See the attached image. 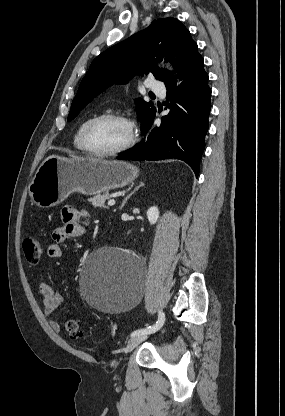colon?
<instances>
[{
  "label": "colon",
  "mask_w": 285,
  "mask_h": 416,
  "mask_svg": "<svg viewBox=\"0 0 285 416\" xmlns=\"http://www.w3.org/2000/svg\"><path fill=\"white\" fill-rule=\"evenodd\" d=\"M23 250L26 260L31 263H37L42 255V245L35 236H28L23 242ZM65 329L68 337L71 340H80L82 332L80 325L76 320H69L65 324Z\"/></svg>",
  "instance_id": "1"
}]
</instances>
